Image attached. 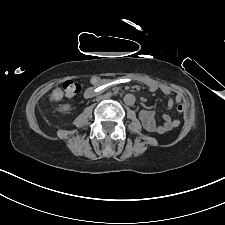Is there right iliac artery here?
<instances>
[{"label":"right iliac artery","mask_w":225,"mask_h":225,"mask_svg":"<svg viewBox=\"0 0 225 225\" xmlns=\"http://www.w3.org/2000/svg\"><path fill=\"white\" fill-rule=\"evenodd\" d=\"M98 90H99V88H97V89L95 90V92H98Z\"/></svg>","instance_id":"obj_1"}]
</instances>
